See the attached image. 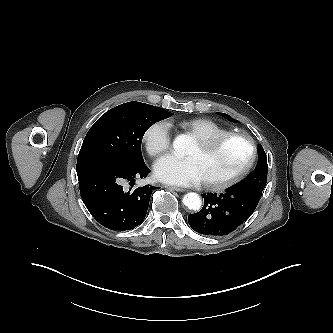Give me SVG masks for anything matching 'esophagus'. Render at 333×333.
I'll return each instance as SVG.
<instances>
[{
	"label": "esophagus",
	"instance_id": "34e87169",
	"mask_svg": "<svg viewBox=\"0 0 333 333\" xmlns=\"http://www.w3.org/2000/svg\"><path fill=\"white\" fill-rule=\"evenodd\" d=\"M165 188L170 189V190H174L177 192H184L185 189L180 188V187H176V186H170V185H165Z\"/></svg>",
	"mask_w": 333,
	"mask_h": 333
}]
</instances>
